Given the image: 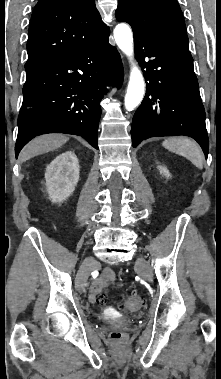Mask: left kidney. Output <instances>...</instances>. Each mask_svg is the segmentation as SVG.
<instances>
[{"label": "left kidney", "instance_id": "left-kidney-1", "mask_svg": "<svg viewBox=\"0 0 221 379\" xmlns=\"http://www.w3.org/2000/svg\"><path fill=\"white\" fill-rule=\"evenodd\" d=\"M158 168H159L160 174H162L166 178H169L171 176L169 170L166 167H164V166H158Z\"/></svg>", "mask_w": 221, "mask_h": 379}]
</instances>
